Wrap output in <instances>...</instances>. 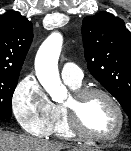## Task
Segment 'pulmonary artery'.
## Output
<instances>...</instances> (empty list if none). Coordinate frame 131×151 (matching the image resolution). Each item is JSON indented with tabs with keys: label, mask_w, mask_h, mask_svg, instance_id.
I'll return each mask as SVG.
<instances>
[{
	"label": "pulmonary artery",
	"mask_w": 131,
	"mask_h": 151,
	"mask_svg": "<svg viewBox=\"0 0 131 151\" xmlns=\"http://www.w3.org/2000/svg\"><path fill=\"white\" fill-rule=\"evenodd\" d=\"M61 76L65 82L80 84L83 78V73L76 64L67 62L62 67Z\"/></svg>",
	"instance_id": "1"
}]
</instances>
